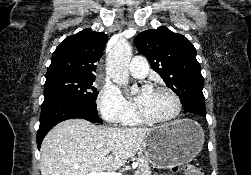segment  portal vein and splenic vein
<instances>
[{
	"label": "portal vein and splenic vein",
	"instance_id": "obj_1",
	"mask_svg": "<svg viewBox=\"0 0 251 175\" xmlns=\"http://www.w3.org/2000/svg\"><path fill=\"white\" fill-rule=\"evenodd\" d=\"M138 163H132L133 169L137 167ZM87 175H122L120 171H114V169H108V171H90V173H87Z\"/></svg>",
	"mask_w": 251,
	"mask_h": 175
}]
</instances>
